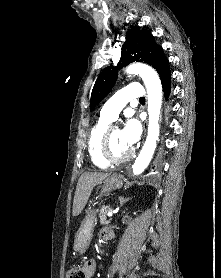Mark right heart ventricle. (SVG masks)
I'll return each mask as SVG.
<instances>
[{
  "label": "right heart ventricle",
  "instance_id": "1",
  "mask_svg": "<svg viewBox=\"0 0 221 278\" xmlns=\"http://www.w3.org/2000/svg\"><path fill=\"white\" fill-rule=\"evenodd\" d=\"M110 122L111 121L109 119L100 116L96 124L91 129L88 137L87 145L90 159L92 163L99 168H107L109 166V163L105 162L100 155V144L102 136L108 128Z\"/></svg>",
  "mask_w": 221,
  "mask_h": 278
}]
</instances>
